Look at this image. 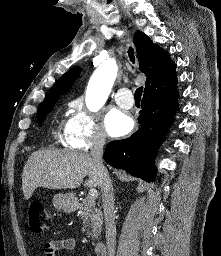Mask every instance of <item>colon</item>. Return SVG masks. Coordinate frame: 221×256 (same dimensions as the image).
Returning a JSON list of instances; mask_svg holds the SVG:
<instances>
[{
  "label": "colon",
  "instance_id": "1",
  "mask_svg": "<svg viewBox=\"0 0 221 256\" xmlns=\"http://www.w3.org/2000/svg\"><path fill=\"white\" fill-rule=\"evenodd\" d=\"M29 226L33 232L47 230L51 225V217L44 205L39 201H31L27 206Z\"/></svg>",
  "mask_w": 221,
  "mask_h": 256
}]
</instances>
